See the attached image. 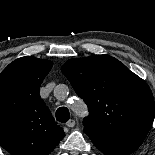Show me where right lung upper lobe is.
Masks as SVG:
<instances>
[{
    "label": "right lung upper lobe",
    "mask_w": 155,
    "mask_h": 155,
    "mask_svg": "<svg viewBox=\"0 0 155 155\" xmlns=\"http://www.w3.org/2000/svg\"><path fill=\"white\" fill-rule=\"evenodd\" d=\"M52 65L25 56L0 74V144L11 155H48L65 136L39 95Z\"/></svg>",
    "instance_id": "right-lung-upper-lobe-1"
}]
</instances>
